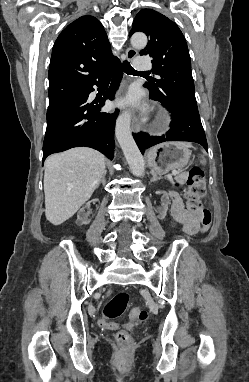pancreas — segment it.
Returning a JSON list of instances; mask_svg holds the SVG:
<instances>
[{"label": "pancreas", "instance_id": "pancreas-1", "mask_svg": "<svg viewBox=\"0 0 249 382\" xmlns=\"http://www.w3.org/2000/svg\"><path fill=\"white\" fill-rule=\"evenodd\" d=\"M176 181L180 184H184L186 179H187V175L186 174H180L178 176H176Z\"/></svg>", "mask_w": 249, "mask_h": 382}]
</instances>
